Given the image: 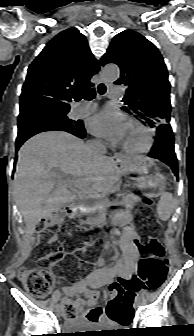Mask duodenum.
Wrapping results in <instances>:
<instances>
[{
	"label": "duodenum",
	"mask_w": 194,
	"mask_h": 336,
	"mask_svg": "<svg viewBox=\"0 0 194 336\" xmlns=\"http://www.w3.org/2000/svg\"><path fill=\"white\" fill-rule=\"evenodd\" d=\"M88 210V206L82 203H74L71 205L68 216L70 218H77L84 215Z\"/></svg>",
	"instance_id": "1"
}]
</instances>
